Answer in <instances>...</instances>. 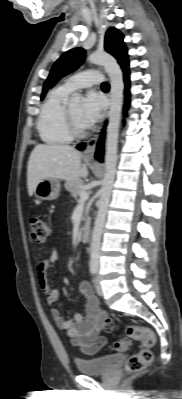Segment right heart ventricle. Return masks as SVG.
Instances as JSON below:
<instances>
[{"label": "right heart ventricle", "instance_id": "e07e8e85", "mask_svg": "<svg viewBox=\"0 0 182 399\" xmlns=\"http://www.w3.org/2000/svg\"><path fill=\"white\" fill-rule=\"evenodd\" d=\"M69 91L61 86L53 89L41 106L37 123L40 138L48 144H66L72 140L65 118Z\"/></svg>", "mask_w": 182, "mask_h": 399}]
</instances>
